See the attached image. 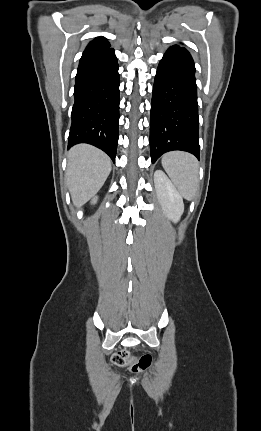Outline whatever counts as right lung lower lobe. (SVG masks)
<instances>
[{"label":"right lung lower lobe","instance_id":"obj_1","mask_svg":"<svg viewBox=\"0 0 261 431\" xmlns=\"http://www.w3.org/2000/svg\"><path fill=\"white\" fill-rule=\"evenodd\" d=\"M114 49L83 52L75 78L74 105L68 149L88 143L115 162L119 122V74Z\"/></svg>","mask_w":261,"mask_h":431}]
</instances>
